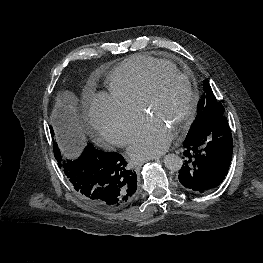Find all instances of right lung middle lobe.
<instances>
[{"label": "right lung middle lobe", "instance_id": "obj_1", "mask_svg": "<svg viewBox=\"0 0 263 263\" xmlns=\"http://www.w3.org/2000/svg\"><path fill=\"white\" fill-rule=\"evenodd\" d=\"M50 132H51L52 140H53L54 156H55V158L59 164V167L64 171L67 162L69 160H71L69 158L70 153L66 152L64 154V152H65L64 151L65 150V147H64L65 140L60 138L59 134H57V136H55L52 126H50ZM89 145H92V144H88L87 146H89Z\"/></svg>", "mask_w": 263, "mask_h": 263}]
</instances>
